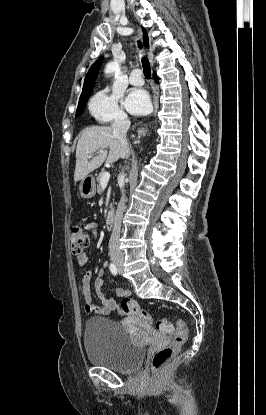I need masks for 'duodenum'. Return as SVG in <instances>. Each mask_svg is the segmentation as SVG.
I'll return each mask as SVG.
<instances>
[{"label": "duodenum", "instance_id": "obj_1", "mask_svg": "<svg viewBox=\"0 0 266 415\" xmlns=\"http://www.w3.org/2000/svg\"><path fill=\"white\" fill-rule=\"evenodd\" d=\"M114 222V211L109 210L105 217V226L107 229H111Z\"/></svg>", "mask_w": 266, "mask_h": 415}]
</instances>
